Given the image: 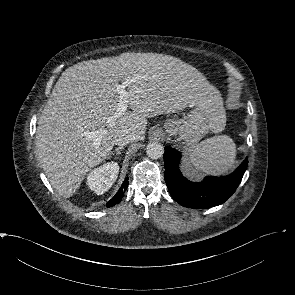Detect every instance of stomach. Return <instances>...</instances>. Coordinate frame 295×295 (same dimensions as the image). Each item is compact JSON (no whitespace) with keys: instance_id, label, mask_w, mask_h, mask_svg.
Instances as JSON below:
<instances>
[{"instance_id":"obj_1","label":"stomach","mask_w":295,"mask_h":295,"mask_svg":"<svg viewBox=\"0 0 295 295\" xmlns=\"http://www.w3.org/2000/svg\"><path fill=\"white\" fill-rule=\"evenodd\" d=\"M190 110L181 119H170L164 123V131L183 146L196 144L206 133L223 131L226 114L221 94L210 86L192 101Z\"/></svg>"}]
</instances>
